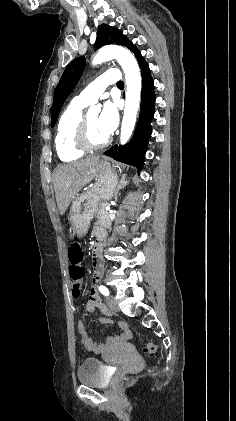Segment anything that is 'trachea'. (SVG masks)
Masks as SVG:
<instances>
[{
    "label": "trachea",
    "mask_w": 236,
    "mask_h": 421,
    "mask_svg": "<svg viewBox=\"0 0 236 421\" xmlns=\"http://www.w3.org/2000/svg\"><path fill=\"white\" fill-rule=\"evenodd\" d=\"M117 86H118V87H123V86H124V83L122 82V80H119V81L117 82Z\"/></svg>",
    "instance_id": "1"
}]
</instances>
